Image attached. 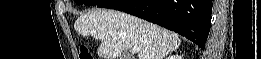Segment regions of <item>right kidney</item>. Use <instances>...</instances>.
Returning a JSON list of instances; mask_svg holds the SVG:
<instances>
[{"label":"right kidney","mask_w":261,"mask_h":59,"mask_svg":"<svg viewBox=\"0 0 261 59\" xmlns=\"http://www.w3.org/2000/svg\"><path fill=\"white\" fill-rule=\"evenodd\" d=\"M168 59H182V58H181V56L174 55V56L168 57Z\"/></svg>","instance_id":"1"}]
</instances>
